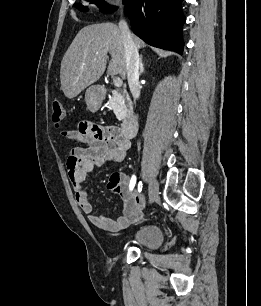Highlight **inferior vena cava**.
Masks as SVG:
<instances>
[{"mask_svg":"<svg viewBox=\"0 0 261 306\" xmlns=\"http://www.w3.org/2000/svg\"><path fill=\"white\" fill-rule=\"evenodd\" d=\"M119 29L122 35L123 46L125 51L128 85L133 98L138 99L140 97V85H139L140 58H139L138 49L133 40L127 22L125 20H121L119 22Z\"/></svg>","mask_w":261,"mask_h":306,"instance_id":"1","label":"inferior vena cava"}]
</instances>
